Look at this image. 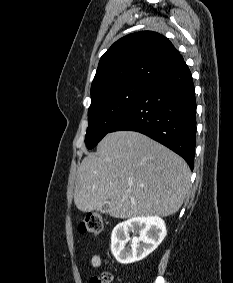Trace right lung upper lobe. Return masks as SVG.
<instances>
[{
    "mask_svg": "<svg viewBox=\"0 0 233 283\" xmlns=\"http://www.w3.org/2000/svg\"><path fill=\"white\" fill-rule=\"evenodd\" d=\"M182 61L173 44L157 32L124 36L101 57L91 85V98L130 82L150 83Z\"/></svg>",
    "mask_w": 233,
    "mask_h": 283,
    "instance_id": "1",
    "label": "right lung upper lobe"
}]
</instances>
